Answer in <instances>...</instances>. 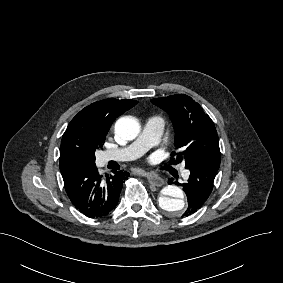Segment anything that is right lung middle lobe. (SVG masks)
I'll use <instances>...</instances> for the list:
<instances>
[{
	"instance_id": "1",
	"label": "right lung middle lobe",
	"mask_w": 283,
	"mask_h": 283,
	"mask_svg": "<svg viewBox=\"0 0 283 283\" xmlns=\"http://www.w3.org/2000/svg\"><path fill=\"white\" fill-rule=\"evenodd\" d=\"M106 132L66 129L60 147V170L79 164H95V151L102 148Z\"/></svg>"
}]
</instances>
